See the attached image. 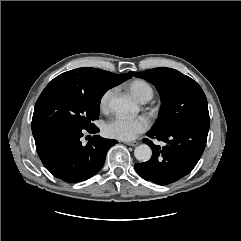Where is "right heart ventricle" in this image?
Here are the masks:
<instances>
[{
	"label": "right heart ventricle",
	"instance_id": "e07e8e85",
	"mask_svg": "<svg viewBox=\"0 0 241 241\" xmlns=\"http://www.w3.org/2000/svg\"><path fill=\"white\" fill-rule=\"evenodd\" d=\"M127 89L138 101H148L153 97L152 86L143 79H135L128 83Z\"/></svg>",
	"mask_w": 241,
	"mask_h": 241
}]
</instances>
